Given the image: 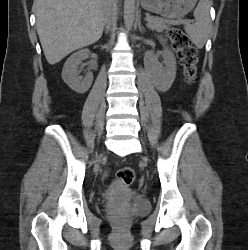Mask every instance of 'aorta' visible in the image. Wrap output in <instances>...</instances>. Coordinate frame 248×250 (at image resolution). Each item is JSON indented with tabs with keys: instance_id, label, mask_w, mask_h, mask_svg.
<instances>
[{
	"instance_id": "obj_1",
	"label": "aorta",
	"mask_w": 248,
	"mask_h": 250,
	"mask_svg": "<svg viewBox=\"0 0 248 250\" xmlns=\"http://www.w3.org/2000/svg\"><path fill=\"white\" fill-rule=\"evenodd\" d=\"M135 16V0H125L124 2V24L126 31L132 29Z\"/></svg>"
}]
</instances>
